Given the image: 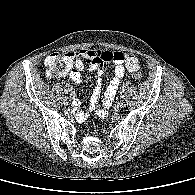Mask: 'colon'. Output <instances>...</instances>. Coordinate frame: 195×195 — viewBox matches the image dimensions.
<instances>
[{"instance_id":"obj_1","label":"colon","mask_w":195,"mask_h":195,"mask_svg":"<svg viewBox=\"0 0 195 195\" xmlns=\"http://www.w3.org/2000/svg\"><path fill=\"white\" fill-rule=\"evenodd\" d=\"M45 65L50 74L62 77L70 70V59L67 54L52 53L46 58ZM132 76L136 80H141L143 78L142 73L137 71L133 72Z\"/></svg>"}]
</instances>
